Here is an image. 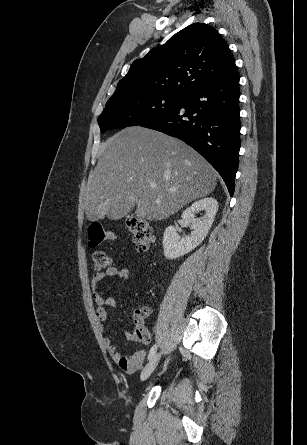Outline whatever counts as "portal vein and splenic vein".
Here are the masks:
<instances>
[{
  "label": "portal vein and splenic vein",
  "mask_w": 307,
  "mask_h": 445,
  "mask_svg": "<svg viewBox=\"0 0 307 445\" xmlns=\"http://www.w3.org/2000/svg\"><path fill=\"white\" fill-rule=\"evenodd\" d=\"M150 186H157L156 182H150ZM170 190H177V188H170Z\"/></svg>",
  "instance_id": "portal-vein-and-splenic-vein-1"
}]
</instances>
